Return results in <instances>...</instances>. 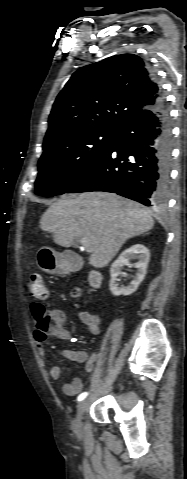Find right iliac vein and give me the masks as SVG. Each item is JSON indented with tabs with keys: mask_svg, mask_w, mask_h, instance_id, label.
Returning <instances> with one entry per match:
<instances>
[{
	"mask_svg": "<svg viewBox=\"0 0 187 479\" xmlns=\"http://www.w3.org/2000/svg\"><path fill=\"white\" fill-rule=\"evenodd\" d=\"M88 404V400H83L77 406V414L72 424V427L76 432H79L82 428L81 418L88 409Z\"/></svg>",
	"mask_w": 187,
	"mask_h": 479,
	"instance_id": "obj_1",
	"label": "right iliac vein"
}]
</instances>
